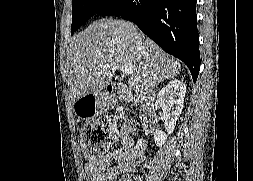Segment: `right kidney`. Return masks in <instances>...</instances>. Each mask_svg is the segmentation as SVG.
I'll return each instance as SVG.
<instances>
[{
    "label": "right kidney",
    "mask_w": 253,
    "mask_h": 181,
    "mask_svg": "<svg viewBox=\"0 0 253 181\" xmlns=\"http://www.w3.org/2000/svg\"><path fill=\"white\" fill-rule=\"evenodd\" d=\"M186 85L179 80L170 81L158 94L157 103L162 108L167 134L161 130L154 132L156 146L162 147L167 136L173 133L176 121L184 107Z\"/></svg>",
    "instance_id": "ca27d5eb"
}]
</instances>
